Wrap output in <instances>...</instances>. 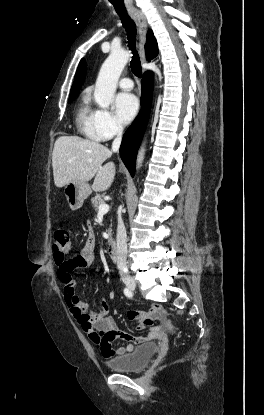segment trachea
<instances>
[{"mask_svg":"<svg viewBox=\"0 0 264 415\" xmlns=\"http://www.w3.org/2000/svg\"><path fill=\"white\" fill-rule=\"evenodd\" d=\"M118 15L121 19V22L126 29L127 32V38H128V45L130 50L132 51V59L130 61V67L133 72V74L141 78L142 76V67L139 55L136 50V26L133 20L130 18V16L126 12H118Z\"/></svg>","mask_w":264,"mask_h":415,"instance_id":"3493384b","label":"trachea"}]
</instances>
